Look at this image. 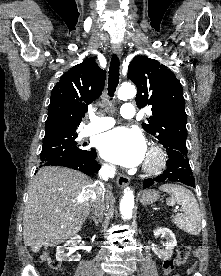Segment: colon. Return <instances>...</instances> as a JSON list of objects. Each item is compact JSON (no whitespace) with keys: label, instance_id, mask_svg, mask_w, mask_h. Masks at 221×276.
<instances>
[{"label":"colon","instance_id":"obj_1","mask_svg":"<svg viewBox=\"0 0 221 276\" xmlns=\"http://www.w3.org/2000/svg\"><path fill=\"white\" fill-rule=\"evenodd\" d=\"M192 251V247L189 244H181L177 248V257L176 260H167L163 264V274L164 276L170 275L174 270L176 265L184 264ZM41 260L48 263V265L53 268L57 269L60 266V263L57 260L50 258L48 254H43L41 256Z\"/></svg>","mask_w":221,"mask_h":276}]
</instances>
